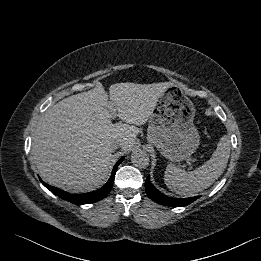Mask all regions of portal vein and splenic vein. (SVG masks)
<instances>
[{"label":"portal vein and splenic vein","mask_w":261,"mask_h":261,"mask_svg":"<svg viewBox=\"0 0 261 261\" xmlns=\"http://www.w3.org/2000/svg\"><path fill=\"white\" fill-rule=\"evenodd\" d=\"M111 114H112L111 117H112V118H115V116H116V110H115V109H112V110H111Z\"/></svg>","instance_id":"obj_1"}]
</instances>
